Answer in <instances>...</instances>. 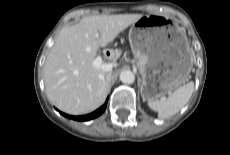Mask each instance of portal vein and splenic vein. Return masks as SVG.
I'll return each mask as SVG.
<instances>
[{"instance_id": "portal-vein-and-splenic-vein-1", "label": "portal vein and splenic vein", "mask_w": 230, "mask_h": 155, "mask_svg": "<svg viewBox=\"0 0 230 155\" xmlns=\"http://www.w3.org/2000/svg\"><path fill=\"white\" fill-rule=\"evenodd\" d=\"M93 65L94 67L102 70V71H110L113 68V63H102V57L98 56L95 58V60L93 61Z\"/></svg>"}]
</instances>
